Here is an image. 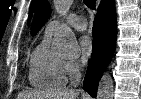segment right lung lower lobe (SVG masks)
<instances>
[{
  "label": "right lung lower lobe",
  "instance_id": "98d812e1",
  "mask_svg": "<svg viewBox=\"0 0 141 99\" xmlns=\"http://www.w3.org/2000/svg\"><path fill=\"white\" fill-rule=\"evenodd\" d=\"M92 33V58L85 75L84 88L92 97H95L99 79L115 50L117 24L112 0H104L100 3Z\"/></svg>",
  "mask_w": 141,
  "mask_h": 99
}]
</instances>
